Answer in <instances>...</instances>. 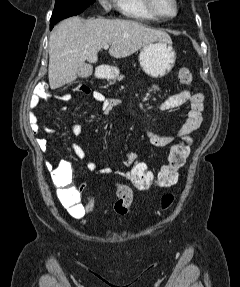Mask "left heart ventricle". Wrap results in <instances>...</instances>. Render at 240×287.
<instances>
[{"label": "left heart ventricle", "mask_w": 240, "mask_h": 287, "mask_svg": "<svg viewBox=\"0 0 240 287\" xmlns=\"http://www.w3.org/2000/svg\"><path fill=\"white\" fill-rule=\"evenodd\" d=\"M158 10L165 15H172L175 7L172 0H156Z\"/></svg>", "instance_id": "1"}]
</instances>
